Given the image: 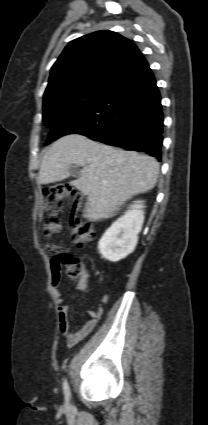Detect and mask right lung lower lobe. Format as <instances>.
<instances>
[{
    "label": "right lung lower lobe",
    "mask_w": 208,
    "mask_h": 425,
    "mask_svg": "<svg viewBox=\"0 0 208 425\" xmlns=\"http://www.w3.org/2000/svg\"><path fill=\"white\" fill-rule=\"evenodd\" d=\"M162 133L161 96L143 57L114 79L94 103L60 117L52 125L46 143L68 134H81L161 160Z\"/></svg>",
    "instance_id": "right-lung-lower-lobe-1"
}]
</instances>
